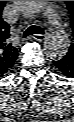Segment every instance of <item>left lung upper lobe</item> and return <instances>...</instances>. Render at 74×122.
I'll list each match as a JSON object with an SVG mask.
<instances>
[{
	"instance_id": "obj_1",
	"label": "left lung upper lobe",
	"mask_w": 74,
	"mask_h": 122,
	"mask_svg": "<svg viewBox=\"0 0 74 122\" xmlns=\"http://www.w3.org/2000/svg\"><path fill=\"white\" fill-rule=\"evenodd\" d=\"M67 6L71 13V26L74 33V1H67ZM68 54L74 56V39H73V43L71 44L69 48Z\"/></svg>"
}]
</instances>
